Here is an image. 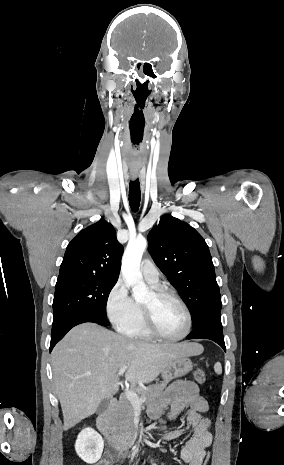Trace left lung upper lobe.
<instances>
[{
  "instance_id": "obj_1",
  "label": "left lung upper lobe",
  "mask_w": 284,
  "mask_h": 465,
  "mask_svg": "<svg viewBox=\"0 0 284 465\" xmlns=\"http://www.w3.org/2000/svg\"><path fill=\"white\" fill-rule=\"evenodd\" d=\"M149 252L159 269L187 303L193 327L220 316L221 296L209 248L189 224L162 216L148 235Z\"/></svg>"
}]
</instances>
